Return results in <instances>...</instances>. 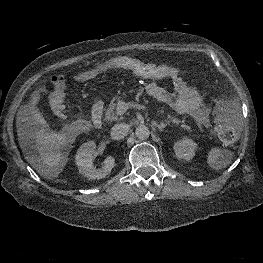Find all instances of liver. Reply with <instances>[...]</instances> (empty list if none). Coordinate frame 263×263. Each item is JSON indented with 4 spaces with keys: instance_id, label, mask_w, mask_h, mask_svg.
Listing matches in <instances>:
<instances>
[{
    "instance_id": "6515ba94",
    "label": "liver",
    "mask_w": 263,
    "mask_h": 263,
    "mask_svg": "<svg viewBox=\"0 0 263 263\" xmlns=\"http://www.w3.org/2000/svg\"><path fill=\"white\" fill-rule=\"evenodd\" d=\"M22 122L23 118L19 112L16 123L20 141L23 139L24 134L33 130L29 128L32 123L25 126ZM75 136L76 129L74 127L65 128L61 132L46 131L42 128L35 131L34 139L41 156L35 167L41 176L52 179L61 173L68 161L67 155L62 153V148L72 142Z\"/></svg>"
}]
</instances>
